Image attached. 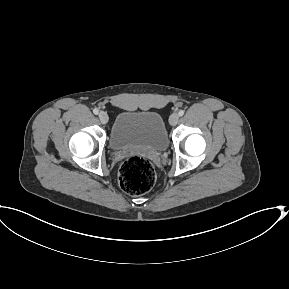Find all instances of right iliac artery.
<instances>
[{"mask_svg":"<svg viewBox=\"0 0 289 289\" xmlns=\"http://www.w3.org/2000/svg\"><path fill=\"white\" fill-rule=\"evenodd\" d=\"M93 113H94L95 115H97V114L99 113V110L95 108V109L93 110Z\"/></svg>","mask_w":289,"mask_h":289,"instance_id":"right-iliac-artery-1","label":"right iliac artery"}]
</instances>
